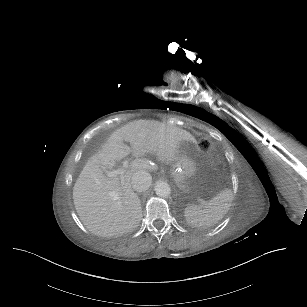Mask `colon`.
Masks as SVG:
<instances>
[{
  "label": "colon",
  "mask_w": 307,
  "mask_h": 307,
  "mask_svg": "<svg viewBox=\"0 0 307 307\" xmlns=\"http://www.w3.org/2000/svg\"><path fill=\"white\" fill-rule=\"evenodd\" d=\"M198 148L201 151H208L211 148V141L208 138H201L198 141Z\"/></svg>",
  "instance_id": "1"
}]
</instances>
